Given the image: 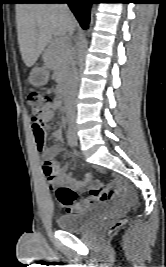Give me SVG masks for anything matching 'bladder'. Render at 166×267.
<instances>
[{
	"label": "bladder",
	"mask_w": 166,
	"mask_h": 267,
	"mask_svg": "<svg viewBox=\"0 0 166 267\" xmlns=\"http://www.w3.org/2000/svg\"><path fill=\"white\" fill-rule=\"evenodd\" d=\"M99 219L98 210H86L77 213L63 214L57 219V226L64 231H79Z\"/></svg>",
	"instance_id": "31cf9c89"
}]
</instances>
